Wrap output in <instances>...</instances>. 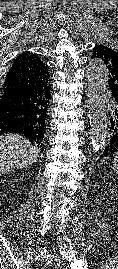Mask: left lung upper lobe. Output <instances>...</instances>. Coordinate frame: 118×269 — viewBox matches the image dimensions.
<instances>
[{
  "instance_id": "1",
  "label": "left lung upper lobe",
  "mask_w": 118,
  "mask_h": 269,
  "mask_svg": "<svg viewBox=\"0 0 118 269\" xmlns=\"http://www.w3.org/2000/svg\"><path fill=\"white\" fill-rule=\"evenodd\" d=\"M92 58H99L106 65L109 89L113 97L118 98V53L106 46L96 45Z\"/></svg>"
}]
</instances>
